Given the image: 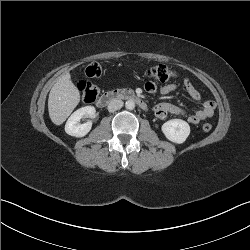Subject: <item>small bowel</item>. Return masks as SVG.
I'll use <instances>...</instances> for the list:
<instances>
[{"instance_id":"c3829d8e","label":"small bowel","mask_w":250,"mask_h":250,"mask_svg":"<svg viewBox=\"0 0 250 250\" xmlns=\"http://www.w3.org/2000/svg\"><path fill=\"white\" fill-rule=\"evenodd\" d=\"M185 89L188 95L194 100H200L201 94L200 92L193 86V84L186 79L184 81ZM178 86L176 84H166L159 88V92L161 95H168L174 92ZM157 89L156 85L153 82H147L145 84V90L148 92H155ZM216 104L212 100H206L203 102L202 107L197 110L195 113L187 114L186 111L175 104L162 102L154 106L153 111L157 118L165 119L169 114L174 115H182L186 116L187 121L191 124H198L201 121L210 118L214 114Z\"/></svg>"}]
</instances>
